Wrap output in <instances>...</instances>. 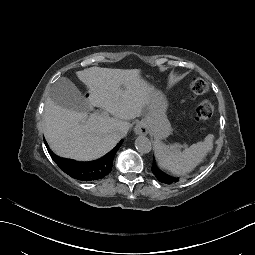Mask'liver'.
Instances as JSON below:
<instances>
[{
	"instance_id": "liver-1",
	"label": "liver",
	"mask_w": 255,
	"mask_h": 255,
	"mask_svg": "<svg viewBox=\"0 0 255 255\" xmlns=\"http://www.w3.org/2000/svg\"><path fill=\"white\" fill-rule=\"evenodd\" d=\"M75 74L88 94L87 107L92 111L94 107L102 108L113 117L105 113L88 116L65 109L48 97L44 109V134L59 156L82 161L97 159L119 141L118 124L139 117L144 105L164 114V100L144 79L141 70L90 67Z\"/></svg>"
}]
</instances>
